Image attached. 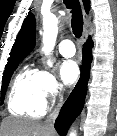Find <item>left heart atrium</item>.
I'll return each mask as SVG.
<instances>
[{"label":"left heart atrium","instance_id":"left-heart-atrium-1","mask_svg":"<svg viewBox=\"0 0 117 136\" xmlns=\"http://www.w3.org/2000/svg\"><path fill=\"white\" fill-rule=\"evenodd\" d=\"M80 75V69L76 61L65 60L60 66V77L66 85L74 84Z\"/></svg>","mask_w":117,"mask_h":136}]
</instances>
